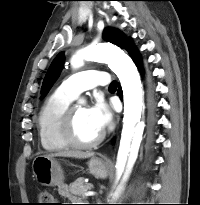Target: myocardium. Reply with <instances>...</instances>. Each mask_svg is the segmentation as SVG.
Segmentation results:
<instances>
[{
  "label": "myocardium",
  "instance_id": "f54148a6",
  "mask_svg": "<svg viewBox=\"0 0 200 205\" xmlns=\"http://www.w3.org/2000/svg\"><path fill=\"white\" fill-rule=\"evenodd\" d=\"M79 104L70 105L62 119L61 123V136L66 144L73 148L78 149H88L93 148L99 145L103 139L105 134L103 132L92 141L83 142L77 139L75 132H74V122H75V110Z\"/></svg>",
  "mask_w": 200,
  "mask_h": 205
}]
</instances>
